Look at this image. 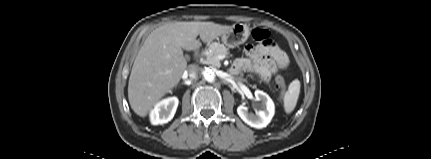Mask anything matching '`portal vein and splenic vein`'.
I'll use <instances>...</instances> for the list:
<instances>
[{"mask_svg": "<svg viewBox=\"0 0 431 159\" xmlns=\"http://www.w3.org/2000/svg\"><path fill=\"white\" fill-rule=\"evenodd\" d=\"M224 55H219L217 58L219 59V60H221V59H224Z\"/></svg>", "mask_w": 431, "mask_h": 159, "instance_id": "obj_1", "label": "portal vein and splenic vein"}]
</instances>
